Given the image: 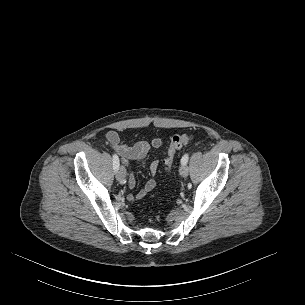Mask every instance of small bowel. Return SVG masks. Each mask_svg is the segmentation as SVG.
I'll use <instances>...</instances> for the list:
<instances>
[{
    "instance_id": "1",
    "label": "small bowel",
    "mask_w": 305,
    "mask_h": 305,
    "mask_svg": "<svg viewBox=\"0 0 305 305\" xmlns=\"http://www.w3.org/2000/svg\"><path fill=\"white\" fill-rule=\"evenodd\" d=\"M106 140L110 147L120 156L122 162L127 165L128 160L135 162H141L151 148H161L163 146V141L160 138H154L150 141H139L133 145H128L124 143L116 131H108L106 133ZM159 160L154 159L150 164V172L155 175L159 170ZM129 186L133 188L135 186V176L131 172L129 176ZM156 186L154 180H149L145 186L135 195H129L127 197L128 201L134 202L144 198L147 193L153 190Z\"/></svg>"
}]
</instances>
